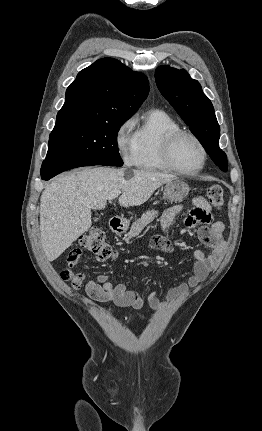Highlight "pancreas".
Returning a JSON list of instances; mask_svg holds the SVG:
<instances>
[{
  "instance_id": "obj_1",
  "label": "pancreas",
  "mask_w": 262,
  "mask_h": 431,
  "mask_svg": "<svg viewBox=\"0 0 262 431\" xmlns=\"http://www.w3.org/2000/svg\"><path fill=\"white\" fill-rule=\"evenodd\" d=\"M157 214L158 212L155 210H148L143 213L141 218L132 224L130 232L127 234V237L132 238L138 236L144 229V227L154 220Z\"/></svg>"
}]
</instances>
